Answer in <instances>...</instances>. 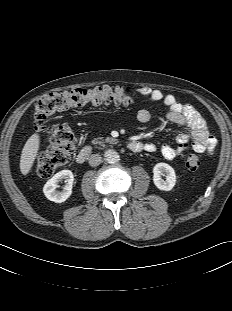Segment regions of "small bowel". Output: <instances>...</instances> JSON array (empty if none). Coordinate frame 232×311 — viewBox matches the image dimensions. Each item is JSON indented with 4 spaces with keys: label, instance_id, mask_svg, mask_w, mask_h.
I'll use <instances>...</instances> for the list:
<instances>
[{
    "label": "small bowel",
    "instance_id": "small-bowel-1",
    "mask_svg": "<svg viewBox=\"0 0 232 311\" xmlns=\"http://www.w3.org/2000/svg\"><path fill=\"white\" fill-rule=\"evenodd\" d=\"M139 93L152 102H162L167 107L166 118L169 122L184 126L186 133H181L176 140L178 145L163 144L160 148L162 156L167 160H172L188 149L197 153L211 152L216 146V140L210 135L206 122L199 112L189 104L179 102L172 94H165L159 89L143 86L139 88ZM137 120L146 124L152 120V113L147 109H140L137 112ZM192 140V143H189ZM144 150L154 152L156 146L153 143L144 145Z\"/></svg>",
    "mask_w": 232,
    "mask_h": 311
}]
</instances>
